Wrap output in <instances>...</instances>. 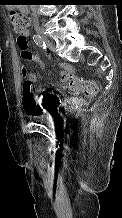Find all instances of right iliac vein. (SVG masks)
<instances>
[{
  "label": "right iliac vein",
  "instance_id": "63e3f726",
  "mask_svg": "<svg viewBox=\"0 0 122 218\" xmlns=\"http://www.w3.org/2000/svg\"><path fill=\"white\" fill-rule=\"evenodd\" d=\"M41 38L43 39V41L45 42V44L47 45V47H48L50 50L54 51V45H53V43H52L48 38H46L45 36H42Z\"/></svg>",
  "mask_w": 122,
  "mask_h": 218
}]
</instances>
